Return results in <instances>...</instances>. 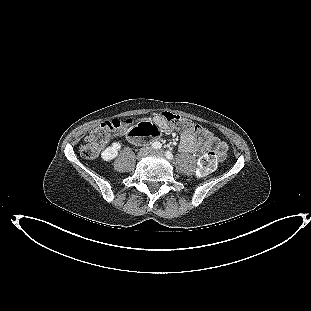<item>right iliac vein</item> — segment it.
I'll use <instances>...</instances> for the list:
<instances>
[{
	"label": "right iliac vein",
	"mask_w": 311,
	"mask_h": 311,
	"mask_svg": "<svg viewBox=\"0 0 311 311\" xmlns=\"http://www.w3.org/2000/svg\"><path fill=\"white\" fill-rule=\"evenodd\" d=\"M149 153H151V149L149 147H144V148L140 149V151L138 152L137 158L142 159V158L146 157Z\"/></svg>",
	"instance_id": "1"
}]
</instances>
